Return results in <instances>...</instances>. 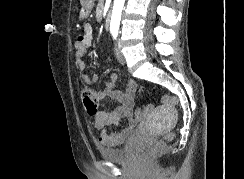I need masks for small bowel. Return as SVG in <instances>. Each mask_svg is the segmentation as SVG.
<instances>
[{"label": "small bowel", "mask_w": 244, "mask_h": 179, "mask_svg": "<svg viewBox=\"0 0 244 179\" xmlns=\"http://www.w3.org/2000/svg\"><path fill=\"white\" fill-rule=\"evenodd\" d=\"M89 13V12H88ZM92 26L86 24L83 31L78 35L75 41V64L79 70L85 69L83 57L87 54L92 45ZM83 82L86 84H94L98 78V73L81 75ZM117 75L115 73L110 74V79L105 83L104 87L97 92V99L103 100L107 97L114 99L120 103V105L112 110H101L95 117V126L98 129H103L106 126L117 125L121 119L126 121V126L121 130L106 131L103 130L99 136V142L105 146L114 147L124 143L126 138L133 132L138 121H135L133 116L134 107V95L137 90V86L134 82H128L126 84L125 92L119 91L115 88ZM144 116V115H136Z\"/></svg>", "instance_id": "1"}]
</instances>
